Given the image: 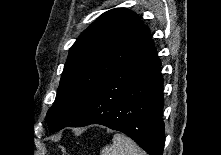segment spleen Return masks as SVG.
<instances>
[{"mask_svg":"<svg viewBox=\"0 0 221 155\" xmlns=\"http://www.w3.org/2000/svg\"><path fill=\"white\" fill-rule=\"evenodd\" d=\"M100 155H146V153L129 137L116 133L112 144L105 146Z\"/></svg>","mask_w":221,"mask_h":155,"instance_id":"3e777b00","label":"spleen"}]
</instances>
